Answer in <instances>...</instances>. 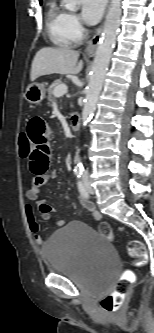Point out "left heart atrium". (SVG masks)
Masks as SVG:
<instances>
[{"label": "left heart atrium", "mask_w": 154, "mask_h": 333, "mask_svg": "<svg viewBox=\"0 0 154 333\" xmlns=\"http://www.w3.org/2000/svg\"><path fill=\"white\" fill-rule=\"evenodd\" d=\"M82 17L88 24L97 23L104 11L106 0H81Z\"/></svg>", "instance_id": "obj_1"}]
</instances>
